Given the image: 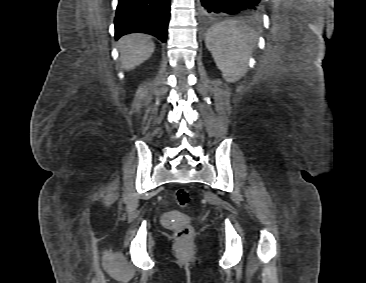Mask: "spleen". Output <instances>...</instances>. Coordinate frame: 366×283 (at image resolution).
I'll use <instances>...</instances> for the list:
<instances>
[{"label":"spleen","instance_id":"1","mask_svg":"<svg viewBox=\"0 0 366 283\" xmlns=\"http://www.w3.org/2000/svg\"><path fill=\"white\" fill-rule=\"evenodd\" d=\"M254 41V30L234 20L215 24L208 30L205 39L217 67L230 83L246 74Z\"/></svg>","mask_w":366,"mask_h":283}]
</instances>
